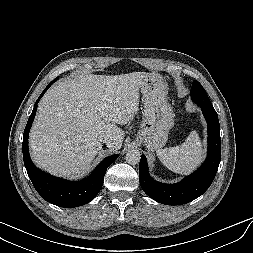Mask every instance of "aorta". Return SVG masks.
<instances>
[{
    "label": "aorta",
    "mask_w": 253,
    "mask_h": 253,
    "mask_svg": "<svg viewBox=\"0 0 253 253\" xmlns=\"http://www.w3.org/2000/svg\"><path fill=\"white\" fill-rule=\"evenodd\" d=\"M141 159V154L137 149H131L126 153V161L130 165H136Z\"/></svg>",
    "instance_id": "aorta-1"
}]
</instances>
